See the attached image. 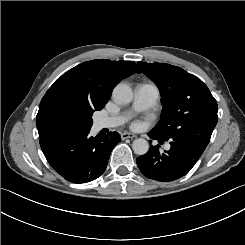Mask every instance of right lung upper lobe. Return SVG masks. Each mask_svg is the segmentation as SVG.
I'll return each instance as SVG.
<instances>
[{"instance_id":"1","label":"right lung upper lobe","mask_w":245,"mask_h":245,"mask_svg":"<svg viewBox=\"0 0 245 245\" xmlns=\"http://www.w3.org/2000/svg\"><path fill=\"white\" fill-rule=\"evenodd\" d=\"M132 61L91 60L63 74L49 88L39 105L36 125L39 136L59 131L56 109L63 103H86L102 109L122 79L140 73Z\"/></svg>"}]
</instances>
